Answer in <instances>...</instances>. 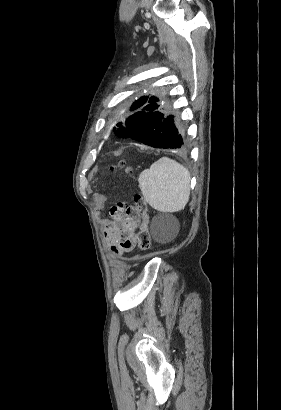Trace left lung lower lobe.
Here are the masks:
<instances>
[{"mask_svg":"<svg viewBox=\"0 0 281 410\" xmlns=\"http://www.w3.org/2000/svg\"><path fill=\"white\" fill-rule=\"evenodd\" d=\"M152 96L147 105L131 115L125 123H120L122 138H131L155 148L186 149L183 132L175 126L174 116L165 113ZM118 130V131H119Z\"/></svg>","mask_w":281,"mask_h":410,"instance_id":"obj_1","label":"left lung lower lobe"}]
</instances>
